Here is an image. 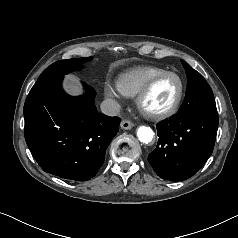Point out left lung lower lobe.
Masks as SVG:
<instances>
[{"label": "left lung lower lobe", "mask_w": 238, "mask_h": 238, "mask_svg": "<svg viewBox=\"0 0 238 238\" xmlns=\"http://www.w3.org/2000/svg\"><path fill=\"white\" fill-rule=\"evenodd\" d=\"M156 128L159 139L148 161L161 178L182 181L193 176L212 154L218 128L217 109L177 114Z\"/></svg>", "instance_id": "1"}]
</instances>
